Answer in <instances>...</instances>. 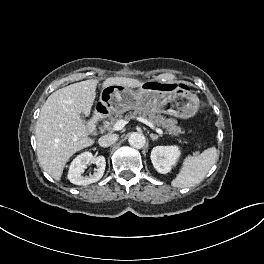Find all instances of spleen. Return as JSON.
<instances>
[{"mask_svg":"<svg viewBox=\"0 0 264 264\" xmlns=\"http://www.w3.org/2000/svg\"><path fill=\"white\" fill-rule=\"evenodd\" d=\"M218 158L217 149L210 147L198 156H187L171 185L177 188L192 187L199 184Z\"/></svg>","mask_w":264,"mask_h":264,"instance_id":"obj_1","label":"spleen"}]
</instances>
